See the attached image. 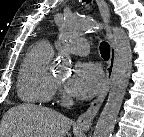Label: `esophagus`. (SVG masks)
Here are the masks:
<instances>
[{
	"instance_id": "1",
	"label": "esophagus",
	"mask_w": 144,
	"mask_h": 137,
	"mask_svg": "<svg viewBox=\"0 0 144 137\" xmlns=\"http://www.w3.org/2000/svg\"><path fill=\"white\" fill-rule=\"evenodd\" d=\"M97 5L102 19L106 24V33L110 44V58L106 68V81L103 89L98 97L90 104L89 108L83 114H81L76 121V126L83 131H88L92 127V122L110 89L116 66L117 55L113 35L110 29V11L107 3L104 0H97Z\"/></svg>"
}]
</instances>
